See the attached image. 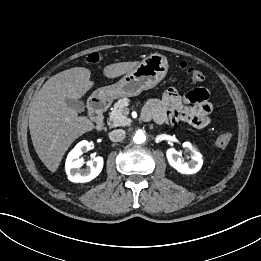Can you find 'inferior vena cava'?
I'll return each instance as SVG.
<instances>
[{
  "mask_svg": "<svg viewBox=\"0 0 261 261\" xmlns=\"http://www.w3.org/2000/svg\"><path fill=\"white\" fill-rule=\"evenodd\" d=\"M126 132L123 129H116L109 133V138L113 142H121L124 140Z\"/></svg>",
  "mask_w": 261,
  "mask_h": 261,
  "instance_id": "obj_1",
  "label": "inferior vena cava"
}]
</instances>
